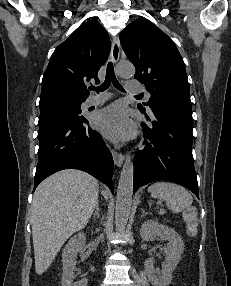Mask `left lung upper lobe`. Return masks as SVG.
I'll return each instance as SVG.
<instances>
[{"label":"left lung upper lobe","instance_id":"left-lung-upper-lobe-1","mask_svg":"<svg viewBox=\"0 0 231 286\" xmlns=\"http://www.w3.org/2000/svg\"><path fill=\"white\" fill-rule=\"evenodd\" d=\"M122 47L136 68L138 79L155 101L192 106L184 61L173 43L157 26L145 18L131 22L120 34ZM140 111H145L138 104Z\"/></svg>","mask_w":231,"mask_h":286}]
</instances>
